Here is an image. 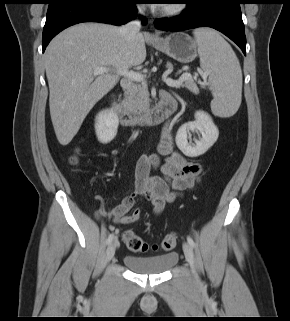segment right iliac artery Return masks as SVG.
Instances as JSON below:
<instances>
[{"label": "right iliac artery", "mask_w": 290, "mask_h": 321, "mask_svg": "<svg viewBox=\"0 0 290 321\" xmlns=\"http://www.w3.org/2000/svg\"><path fill=\"white\" fill-rule=\"evenodd\" d=\"M114 239V234L112 233V234H110L109 235V237H108V239H107V241H106V243L107 244H110L111 242H112V240Z\"/></svg>", "instance_id": "obj_1"}]
</instances>
